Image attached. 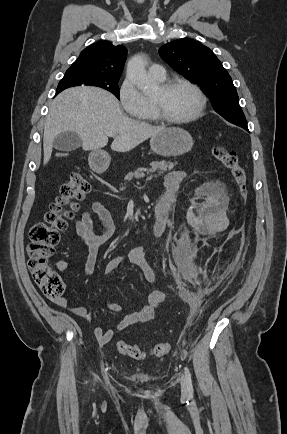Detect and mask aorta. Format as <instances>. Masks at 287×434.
<instances>
[{
    "label": "aorta",
    "mask_w": 287,
    "mask_h": 434,
    "mask_svg": "<svg viewBox=\"0 0 287 434\" xmlns=\"http://www.w3.org/2000/svg\"><path fill=\"white\" fill-rule=\"evenodd\" d=\"M146 61L141 55L133 56L127 64V77L143 92L149 93L155 89L146 72Z\"/></svg>",
    "instance_id": "762f6f07"
}]
</instances>
